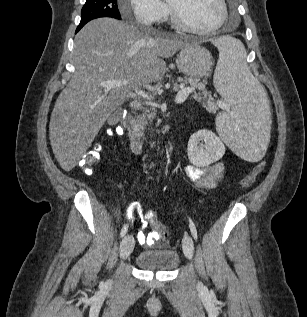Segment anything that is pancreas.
<instances>
[{"label": "pancreas", "mask_w": 307, "mask_h": 317, "mask_svg": "<svg viewBox=\"0 0 307 317\" xmlns=\"http://www.w3.org/2000/svg\"><path fill=\"white\" fill-rule=\"evenodd\" d=\"M182 81L186 84H189L191 88L198 89L200 91L199 93L192 94L191 97L198 100L199 102H202L207 111L214 112L217 110V105L213 101V99L204 101V98L201 97V95H204V97H206L207 91L204 89V86L199 82L198 79L184 78L182 79ZM155 116L156 112L154 109H145L144 113L138 116L136 120L133 121V124L140 129H144L148 121L151 122Z\"/></svg>", "instance_id": "1"}]
</instances>
